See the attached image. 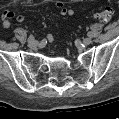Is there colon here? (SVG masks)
<instances>
[{
  "mask_svg": "<svg viewBox=\"0 0 119 119\" xmlns=\"http://www.w3.org/2000/svg\"><path fill=\"white\" fill-rule=\"evenodd\" d=\"M114 12L111 8L106 7L96 14V18L102 22L108 23L113 19Z\"/></svg>",
  "mask_w": 119,
  "mask_h": 119,
  "instance_id": "5ec220e1",
  "label": "colon"
}]
</instances>
